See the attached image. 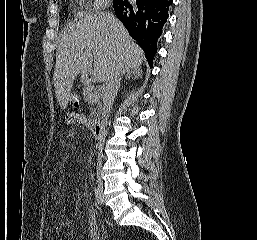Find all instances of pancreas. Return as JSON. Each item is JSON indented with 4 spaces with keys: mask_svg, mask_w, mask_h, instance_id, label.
Returning a JSON list of instances; mask_svg holds the SVG:
<instances>
[{
    "mask_svg": "<svg viewBox=\"0 0 257 240\" xmlns=\"http://www.w3.org/2000/svg\"><path fill=\"white\" fill-rule=\"evenodd\" d=\"M83 97H84V100L88 103H97L99 98L98 95L92 92L91 86H85L83 88Z\"/></svg>",
    "mask_w": 257,
    "mask_h": 240,
    "instance_id": "pancreas-1",
    "label": "pancreas"
}]
</instances>
